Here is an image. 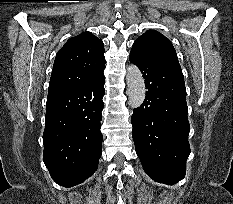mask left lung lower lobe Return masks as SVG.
Segmentation results:
<instances>
[{"label":"left lung lower lobe","instance_id":"obj_1","mask_svg":"<svg viewBox=\"0 0 233 204\" xmlns=\"http://www.w3.org/2000/svg\"><path fill=\"white\" fill-rule=\"evenodd\" d=\"M129 58L141 70L148 89L143 104L131 117L136 153L152 179L175 184L184 178L190 154L182 70L134 51Z\"/></svg>","mask_w":233,"mask_h":204}]
</instances>
